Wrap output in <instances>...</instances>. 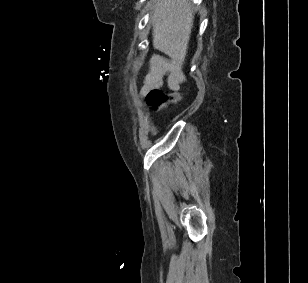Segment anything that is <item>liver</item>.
Here are the masks:
<instances>
[{"instance_id":"6515ba94","label":"liver","mask_w":308,"mask_h":283,"mask_svg":"<svg viewBox=\"0 0 308 283\" xmlns=\"http://www.w3.org/2000/svg\"><path fill=\"white\" fill-rule=\"evenodd\" d=\"M193 20V11L188 0H155L151 18L154 48L177 63L183 62Z\"/></svg>"}]
</instances>
